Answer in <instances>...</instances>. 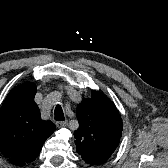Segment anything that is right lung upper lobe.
<instances>
[{
  "instance_id": "cb5924a9",
  "label": "right lung upper lobe",
  "mask_w": 168,
  "mask_h": 168,
  "mask_svg": "<svg viewBox=\"0 0 168 168\" xmlns=\"http://www.w3.org/2000/svg\"><path fill=\"white\" fill-rule=\"evenodd\" d=\"M35 94L36 85L27 82L11 90L0 108V151L18 166L34 161L56 130L51 121L41 119Z\"/></svg>"
}]
</instances>
